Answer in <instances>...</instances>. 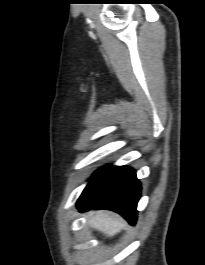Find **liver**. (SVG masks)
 Instances as JSON below:
<instances>
[{
    "label": "liver",
    "mask_w": 205,
    "mask_h": 265,
    "mask_svg": "<svg viewBox=\"0 0 205 265\" xmlns=\"http://www.w3.org/2000/svg\"><path fill=\"white\" fill-rule=\"evenodd\" d=\"M88 223L94 229L110 237L116 235L127 226L126 223L116 215L103 211L91 214Z\"/></svg>",
    "instance_id": "6515ba94"
}]
</instances>
